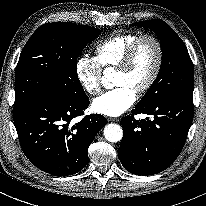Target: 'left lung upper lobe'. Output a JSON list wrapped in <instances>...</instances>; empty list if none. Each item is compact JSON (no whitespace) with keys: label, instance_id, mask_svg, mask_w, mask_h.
I'll use <instances>...</instances> for the list:
<instances>
[{"label":"left lung upper lobe","instance_id":"1","mask_svg":"<svg viewBox=\"0 0 206 206\" xmlns=\"http://www.w3.org/2000/svg\"><path fill=\"white\" fill-rule=\"evenodd\" d=\"M152 29L161 41V70L153 85L137 105L145 106L178 94H193L194 71L183 41L164 21L153 19L132 24Z\"/></svg>","mask_w":206,"mask_h":206}]
</instances>
